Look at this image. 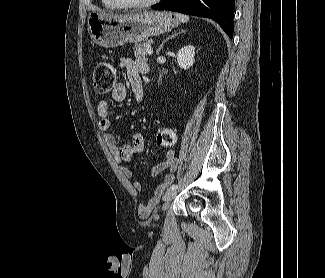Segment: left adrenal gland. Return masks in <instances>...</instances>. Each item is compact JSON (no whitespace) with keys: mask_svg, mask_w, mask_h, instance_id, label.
Returning <instances> with one entry per match:
<instances>
[{"mask_svg":"<svg viewBox=\"0 0 325 278\" xmlns=\"http://www.w3.org/2000/svg\"><path fill=\"white\" fill-rule=\"evenodd\" d=\"M186 32V30H177V31H174V33H172V35H170L169 37H167L162 43H161V45L159 46V48L157 49V54L159 55V53H160V51H161V49L163 48V45H164V43H166L169 39H172L173 37H175V36H177L178 34H181V33H185Z\"/></svg>","mask_w":325,"mask_h":278,"instance_id":"a2214340","label":"left adrenal gland"}]
</instances>
